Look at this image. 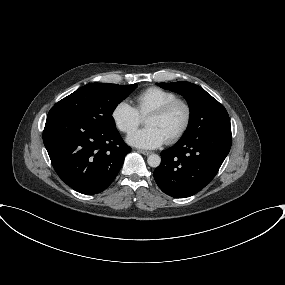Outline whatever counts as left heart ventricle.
<instances>
[{"label": "left heart ventricle", "mask_w": 285, "mask_h": 285, "mask_svg": "<svg viewBox=\"0 0 285 285\" xmlns=\"http://www.w3.org/2000/svg\"><path fill=\"white\" fill-rule=\"evenodd\" d=\"M183 119V108L181 106H176L164 116L148 115L145 119V125L157 127L167 139L179 129Z\"/></svg>", "instance_id": "b2bd125f"}]
</instances>
